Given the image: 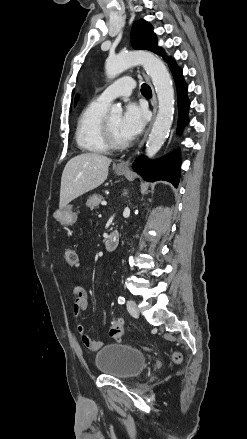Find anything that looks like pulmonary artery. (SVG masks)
<instances>
[{
    "label": "pulmonary artery",
    "mask_w": 247,
    "mask_h": 439,
    "mask_svg": "<svg viewBox=\"0 0 247 439\" xmlns=\"http://www.w3.org/2000/svg\"><path fill=\"white\" fill-rule=\"evenodd\" d=\"M134 87V80L130 77H124L106 88L96 99L105 104H109L115 98L129 96Z\"/></svg>",
    "instance_id": "e3ab8cb5"
}]
</instances>
